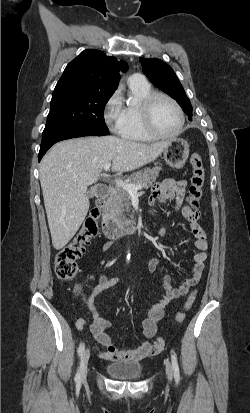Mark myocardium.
<instances>
[{"label": "myocardium", "mask_w": 250, "mask_h": 413, "mask_svg": "<svg viewBox=\"0 0 250 413\" xmlns=\"http://www.w3.org/2000/svg\"><path fill=\"white\" fill-rule=\"evenodd\" d=\"M163 98L169 101L177 110L180 118L179 126L177 130L173 133L170 134H162L158 132L154 126L153 123V107L155 102L159 99ZM141 110V116H142V122L144 129L146 133L153 139H172L181 134L183 131L184 125H185V114L180 106V104L170 95L163 93V92H158V91H152L150 94H148L143 101L141 102L140 106Z\"/></svg>", "instance_id": "1"}]
</instances>
